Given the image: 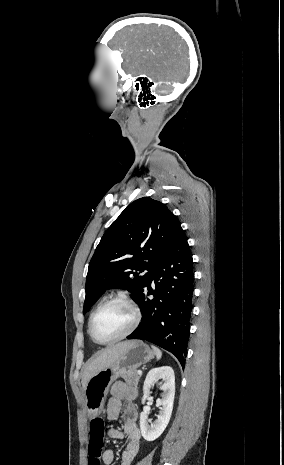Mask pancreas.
<instances>
[{"mask_svg": "<svg viewBox=\"0 0 284 465\" xmlns=\"http://www.w3.org/2000/svg\"><path fill=\"white\" fill-rule=\"evenodd\" d=\"M121 377L124 379L125 383L129 385V387H135V389H138L137 385L141 375H138L137 371H127V373H122Z\"/></svg>", "mask_w": 284, "mask_h": 465, "instance_id": "1", "label": "pancreas"}]
</instances>
